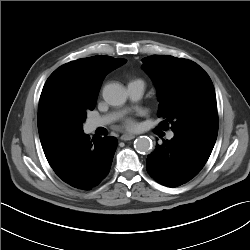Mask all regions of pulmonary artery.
Segmentation results:
<instances>
[{
  "label": "pulmonary artery",
  "mask_w": 250,
  "mask_h": 250,
  "mask_svg": "<svg viewBox=\"0 0 250 250\" xmlns=\"http://www.w3.org/2000/svg\"><path fill=\"white\" fill-rule=\"evenodd\" d=\"M128 96L131 100H139L144 93V84L140 80H133L127 84ZM118 117L117 113H109L99 118L90 119L88 121V128L95 130L99 127H104L113 122ZM174 136L173 132H169L167 137L171 139Z\"/></svg>",
  "instance_id": "pulmonary-artery-1"
}]
</instances>
